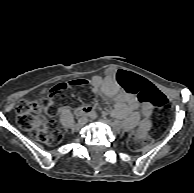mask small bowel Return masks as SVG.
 Listing matches in <instances>:
<instances>
[{"instance_id": "c3829d8e", "label": "small bowel", "mask_w": 194, "mask_h": 193, "mask_svg": "<svg viewBox=\"0 0 194 193\" xmlns=\"http://www.w3.org/2000/svg\"><path fill=\"white\" fill-rule=\"evenodd\" d=\"M144 79V78H142ZM146 80V79H145ZM149 82L148 80H146ZM150 83V82H149ZM92 93L98 102H113V110L111 115L115 118H129L135 122L138 120L136 109L138 101L134 93L125 92L121 89L116 80V70L109 69L103 74L95 75L91 81ZM153 88L162 94V92L150 83ZM154 105L151 103L142 104L141 114L143 120L141 121L137 130V135L144 138L150 129V117L153 112ZM92 110L89 105H82L77 109L79 115H86Z\"/></svg>"}]
</instances>
